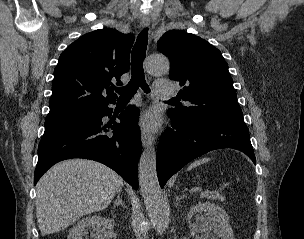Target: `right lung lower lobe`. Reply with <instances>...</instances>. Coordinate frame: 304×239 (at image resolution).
Segmentation results:
<instances>
[{"label":"right lung lower lobe","instance_id":"obj_1","mask_svg":"<svg viewBox=\"0 0 304 239\" xmlns=\"http://www.w3.org/2000/svg\"><path fill=\"white\" fill-rule=\"evenodd\" d=\"M110 103L97 107L84 117L45 122L34 185L55 163L84 158L107 165L138 189L137 164L142 151L137 124L139 113L135 106H128L119 115L120 123L103 125L102 118L112 114L108 107Z\"/></svg>","mask_w":304,"mask_h":239}]
</instances>
